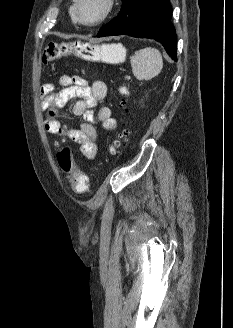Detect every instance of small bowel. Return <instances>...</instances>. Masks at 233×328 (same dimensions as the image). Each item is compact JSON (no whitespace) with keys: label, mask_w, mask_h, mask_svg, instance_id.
<instances>
[{"label":"small bowel","mask_w":233,"mask_h":328,"mask_svg":"<svg viewBox=\"0 0 233 328\" xmlns=\"http://www.w3.org/2000/svg\"><path fill=\"white\" fill-rule=\"evenodd\" d=\"M62 87L55 92V83L44 84L40 95L43 99L42 108L45 111V127L52 134L64 133L69 139L80 145L81 154L94 160L98 155L97 132L94 127V108L99 105L96 113L97 120L105 131L113 132L117 128L116 120L111 116L110 109L103 104L107 96V86L103 81H94L91 85L81 76L63 75L57 80ZM77 98L73 105V113L82 117L77 128L65 130L59 120V109L70 100Z\"/></svg>","instance_id":"small-bowel-1"}]
</instances>
